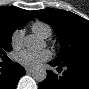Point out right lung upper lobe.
<instances>
[{
    "label": "right lung upper lobe",
    "mask_w": 89,
    "mask_h": 89,
    "mask_svg": "<svg viewBox=\"0 0 89 89\" xmlns=\"http://www.w3.org/2000/svg\"><path fill=\"white\" fill-rule=\"evenodd\" d=\"M31 20H35L33 11L30 12L13 6L0 9V24H4L14 30Z\"/></svg>",
    "instance_id": "cb5924a9"
}]
</instances>
